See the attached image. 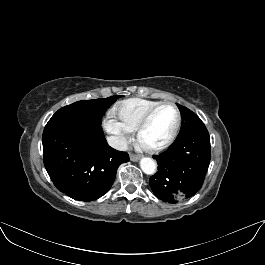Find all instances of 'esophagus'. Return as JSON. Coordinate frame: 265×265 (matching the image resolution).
<instances>
[{"instance_id":"esophagus-1","label":"esophagus","mask_w":265,"mask_h":265,"mask_svg":"<svg viewBox=\"0 0 265 265\" xmlns=\"http://www.w3.org/2000/svg\"><path fill=\"white\" fill-rule=\"evenodd\" d=\"M130 159H131V161L136 162L140 159V156L136 155V154H130Z\"/></svg>"}]
</instances>
